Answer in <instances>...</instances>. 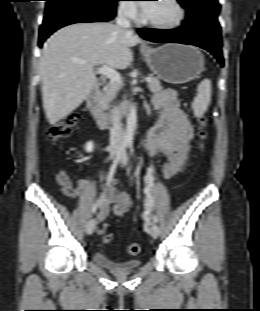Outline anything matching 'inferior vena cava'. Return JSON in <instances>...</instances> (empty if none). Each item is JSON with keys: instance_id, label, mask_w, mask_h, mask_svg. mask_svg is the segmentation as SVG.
Masks as SVG:
<instances>
[{"instance_id": "obj_1", "label": "inferior vena cava", "mask_w": 260, "mask_h": 311, "mask_svg": "<svg viewBox=\"0 0 260 311\" xmlns=\"http://www.w3.org/2000/svg\"><path fill=\"white\" fill-rule=\"evenodd\" d=\"M116 24L124 29L131 27L130 21L126 16V13L123 11L119 12L118 17L116 18ZM111 121L112 126L110 128V148L118 149L123 139V130L119 110L117 107H114L112 110Z\"/></svg>"}]
</instances>
